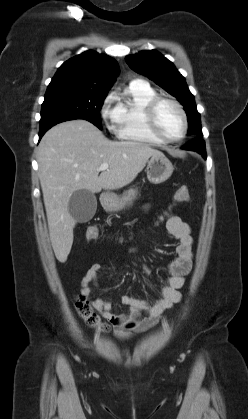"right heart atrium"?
Listing matches in <instances>:
<instances>
[{"label": "right heart atrium", "mask_w": 248, "mask_h": 419, "mask_svg": "<svg viewBox=\"0 0 248 419\" xmlns=\"http://www.w3.org/2000/svg\"><path fill=\"white\" fill-rule=\"evenodd\" d=\"M115 103L116 95L114 93H109L104 99L100 109L101 117L111 131H115L117 128L118 110Z\"/></svg>", "instance_id": "right-heart-atrium-1"}]
</instances>
